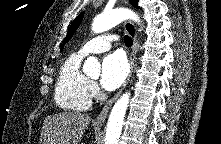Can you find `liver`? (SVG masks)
<instances>
[{
  "instance_id": "obj_1",
  "label": "liver",
  "mask_w": 221,
  "mask_h": 144,
  "mask_svg": "<svg viewBox=\"0 0 221 144\" xmlns=\"http://www.w3.org/2000/svg\"><path fill=\"white\" fill-rule=\"evenodd\" d=\"M90 116L80 112H64L44 120L40 144H78L90 123Z\"/></svg>"
}]
</instances>
